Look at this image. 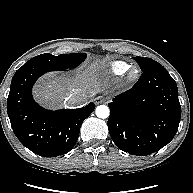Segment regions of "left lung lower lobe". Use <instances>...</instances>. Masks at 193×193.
<instances>
[{
    "label": "left lung lower lobe",
    "instance_id": "left-lung-lower-lobe-1",
    "mask_svg": "<svg viewBox=\"0 0 193 193\" xmlns=\"http://www.w3.org/2000/svg\"><path fill=\"white\" fill-rule=\"evenodd\" d=\"M109 108L112 140L122 151L137 156L167 145L181 118L176 82L161 64L144 70L135 85L116 96Z\"/></svg>",
    "mask_w": 193,
    "mask_h": 193
}]
</instances>
